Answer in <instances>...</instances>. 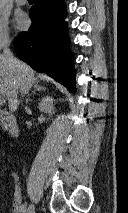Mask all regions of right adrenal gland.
I'll list each match as a JSON object with an SVG mask.
<instances>
[{
  "instance_id": "right-adrenal-gland-1",
  "label": "right adrenal gland",
  "mask_w": 128,
  "mask_h": 213,
  "mask_svg": "<svg viewBox=\"0 0 128 213\" xmlns=\"http://www.w3.org/2000/svg\"><path fill=\"white\" fill-rule=\"evenodd\" d=\"M45 90H46V88L44 86H41V85L38 84V82H36L33 85L32 93L28 94V96H27L26 103L29 101L31 95H34L37 91H45Z\"/></svg>"
}]
</instances>
